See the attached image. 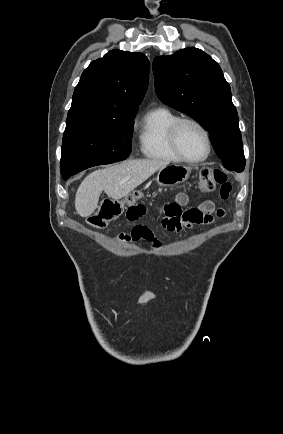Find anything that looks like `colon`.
Segmentation results:
<instances>
[{"mask_svg": "<svg viewBox=\"0 0 283 434\" xmlns=\"http://www.w3.org/2000/svg\"><path fill=\"white\" fill-rule=\"evenodd\" d=\"M201 185L207 190H214L219 187V194L222 199H227L231 192V184L226 174L219 169L204 168L200 173ZM142 197L141 191H135L124 199H105L102 201L98 211L88 218V223L95 228H103L112 220L118 218L127 207L137 203Z\"/></svg>", "mask_w": 283, "mask_h": 434, "instance_id": "1", "label": "colon"}]
</instances>
